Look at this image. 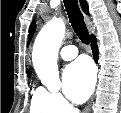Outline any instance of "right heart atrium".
<instances>
[{
	"label": "right heart atrium",
	"mask_w": 121,
	"mask_h": 113,
	"mask_svg": "<svg viewBox=\"0 0 121 113\" xmlns=\"http://www.w3.org/2000/svg\"><path fill=\"white\" fill-rule=\"evenodd\" d=\"M52 104V107L54 109V112L56 113H62L65 110L69 109V104L66 102V100L58 93H50L46 90H44Z\"/></svg>",
	"instance_id": "right-heart-atrium-1"
}]
</instances>
